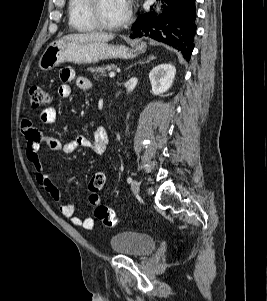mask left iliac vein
I'll return each mask as SVG.
<instances>
[{
  "label": "left iliac vein",
  "instance_id": "1",
  "mask_svg": "<svg viewBox=\"0 0 267 301\" xmlns=\"http://www.w3.org/2000/svg\"><path fill=\"white\" fill-rule=\"evenodd\" d=\"M131 190L133 192L134 195H138L139 191H140V184L137 180H133V182L131 183Z\"/></svg>",
  "mask_w": 267,
  "mask_h": 301
}]
</instances>
